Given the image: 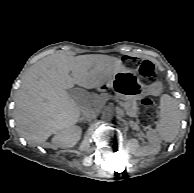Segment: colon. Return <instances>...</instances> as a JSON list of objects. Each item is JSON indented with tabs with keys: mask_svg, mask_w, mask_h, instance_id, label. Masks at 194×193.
Returning a JSON list of instances; mask_svg holds the SVG:
<instances>
[{
	"mask_svg": "<svg viewBox=\"0 0 194 193\" xmlns=\"http://www.w3.org/2000/svg\"><path fill=\"white\" fill-rule=\"evenodd\" d=\"M126 65L130 68L136 70V72L146 81H149L154 78L155 76V67L152 63L146 60H140L136 58H129L126 60ZM153 104L152 99L144 98L142 100V105L144 107H150ZM152 113L149 112L148 115Z\"/></svg>",
	"mask_w": 194,
	"mask_h": 193,
	"instance_id": "1",
	"label": "colon"
}]
</instances>
